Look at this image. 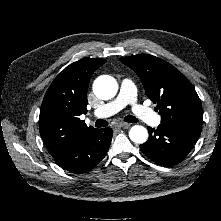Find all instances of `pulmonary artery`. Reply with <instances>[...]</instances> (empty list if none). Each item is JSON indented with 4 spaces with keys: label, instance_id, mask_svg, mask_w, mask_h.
I'll return each mask as SVG.
<instances>
[{
    "label": "pulmonary artery",
    "instance_id": "pulmonary-artery-1",
    "mask_svg": "<svg viewBox=\"0 0 221 221\" xmlns=\"http://www.w3.org/2000/svg\"><path fill=\"white\" fill-rule=\"evenodd\" d=\"M127 105H131L132 112L137 119L154 127L160 124L161 118L158 114L137 103L136 87L130 79L122 81L119 94L113 101L96 109L92 115L96 118L109 117Z\"/></svg>",
    "mask_w": 221,
    "mask_h": 221
}]
</instances>
